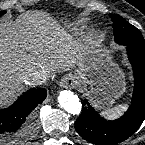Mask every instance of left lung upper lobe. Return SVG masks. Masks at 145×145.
I'll return each mask as SVG.
<instances>
[{"label": "left lung upper lobe", "mask_w": 145, "mask_h": 145, "mask_svg": "<svg viewBox=\"0 0 145 145\" xmlns=\"http://www.w3.org/2000/svg\"><path fill=\"white\" fill-rule=\"evenodd\" d=\"M113 21L114 39L118 44L131 45L145 49L141 32L119 15H110Z\"/></svg>", "instance_id": "left-lung-upper-lobe-1"}]
</instances>
